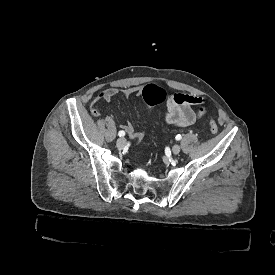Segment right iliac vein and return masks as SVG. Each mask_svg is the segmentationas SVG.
Returning a JSON list of instances; mask_svg holds the SVG:
<instances>
[{
  "label": "right iliac vein",
  "mask_w": 275,
  "mask_h": 275,
  "mask_svg": "<svg viewBox=\"0 0 275 275\" xmlns=\"http://www.w3.org/2000/svg\"><path fill=\"white\" fill-rule=\"evenodd\" d=\"M125 144H126L125 138H119L116 142V146L119 149H122L125 146Z\"/></svg>",
  "instance_id": "obj_1"
}]
</instances>
